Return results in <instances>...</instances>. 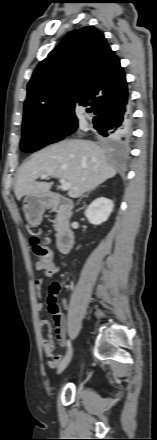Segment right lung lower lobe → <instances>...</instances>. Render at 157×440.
Masks as SVG:
<instances>
[{
	"mask_svg": "<svg viewBox=\"0 0 157 440\" xmlns=\"http://www.w3.org/2000/svg\"><path fill=\"white\" fill-rule=\"evenodd\" d=\"M94 129L102 137L114 142H128L131 137V114L128 96L114 100L97 113L93 119Z\"/></svg>",
	"mask_w": 157,
	"mask_h": 440,
	"instance_id": "right-lung-lower-lobe-1",
	"label": "right lung lower lobe"
}]
</instances>
